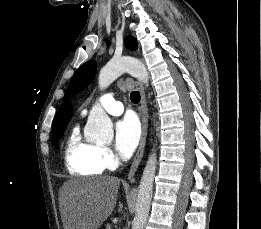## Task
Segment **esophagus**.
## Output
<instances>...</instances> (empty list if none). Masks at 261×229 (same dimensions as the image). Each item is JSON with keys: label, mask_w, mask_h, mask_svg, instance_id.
<instances>
[{"label": "esophagus", "mask_w": 261, "mask_h": 229, "mask_svg": "<svg viewBox=\"0 0 261 229\" xmlns=\"http://www.w3.org/2000/svg\"><path fill=\"white\" fill-rule=\"evenodd\" d=\"M139 85V91L141 94V100H140V107L139 111L142 116V129H141V138L139 141L138 149L135 154V157L133 159L132 165L130 167L129 173H128V180H131L132 177L135 175V172L141 162L143 153H144V148L146 144V139L148 135V107H147V101H146V96H145V91L143 84L141 82H138Z\"/></svg>", "instance_id": "1"}]
</instances>
